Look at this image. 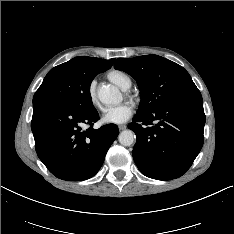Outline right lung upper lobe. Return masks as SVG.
Returning a JSON list of instances; mask_svg holds the SVG:
<instances>
[{"label": "right lung upper lobe", "instance_id": "right-lung-upper-lobe-1", "mask_svg": "<svg viewBox=\"0 0 234 234\" xmlns=\"http://www.w3.org/2000/svg\"><path fill=\"white\" fill-rule=\"evenodd\" d=\"M74 60L84 70L104 72L112 67L115 59L104 60L94 57L79 56L75 57Z\"/></svg>", "mask_w": 234, "mask_h": 234}]
</instances>
